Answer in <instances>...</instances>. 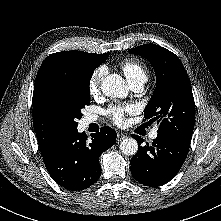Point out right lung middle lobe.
<instances>
[{"label": "right lung middle lobe", "instance_id": "1", "mask_svg": "<svg viewBox=\"0 0 221 221\" xmlns=\"http://www.w3.org/2000/svg\"><path fill=\"white\" fill-rule=\"evenodd\" d=\"M108 56L109 53L100 63ZM100 63H75L55 69L40 84L39 93L45 107L70 129H77L82 109L90 104L89 84Z\"/></svg>", "mask_w": 221, "mask_h": 221}]
</instances>
